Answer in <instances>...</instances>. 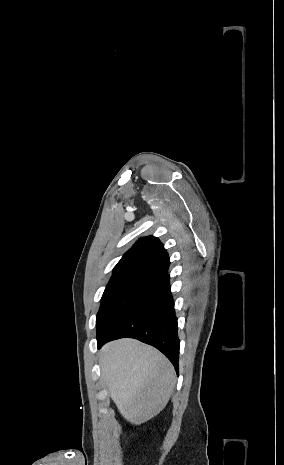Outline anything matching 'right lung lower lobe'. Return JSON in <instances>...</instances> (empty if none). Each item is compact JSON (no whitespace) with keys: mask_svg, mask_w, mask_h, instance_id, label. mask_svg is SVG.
<instances>
[{"mask_svg":"<svg viewBox=\"0 0 284 465\" xmlns=\"http://www.w3.org/2000/svg\"><path fill=\"white\" fill-rule=\"evenodd\" d=\"M169 275L157 280L128 310L98 337V348L108 341L134 338L156 347L178 374L179 338Z\"/></svg>","mask_w":284,"mask_h":465,"instance_id":"right-lung-lower-lobe-1","label":"right lung lower lobe"}]
</instances>
